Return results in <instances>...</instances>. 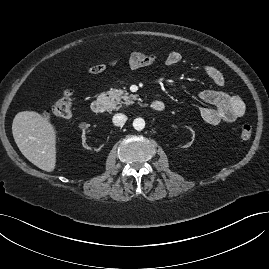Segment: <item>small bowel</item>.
Here are the masks:
<instances>
[{
  "instance_id": "small-bowel-1",
  "label": "small bowel",
  "mask_w": 269,
  "mask_h": 269,
  "mask_svg": "<svg viewBox=\"0 0 269 269\" xmlns=\"http://www.w3.org/2000/svg\"><path fill=\"white\" fill-rule=\"evenodd\" d=\"M158 56L152 52H132L128 56V65L132 69H138L150 66L156 63ZM182 60L180 53L170 52L166 57L168 66H175ZM118 63L112 60L108 63H100L93 65L87 69L89 74H100L107 70L109 66H114ZM205 74L217 86H223L225 78L223 73L216 67L206 65L203 67ZM199 99L205 103V106L200 111L201 119L210 125L228 124L235 122L241 118L246 111L245 102L237 95L229 94L218 90H203L198 95Z\"/></svg>"
}]
</instances>
